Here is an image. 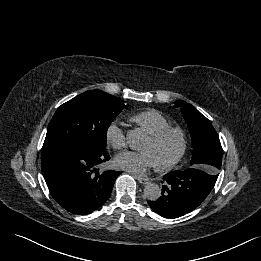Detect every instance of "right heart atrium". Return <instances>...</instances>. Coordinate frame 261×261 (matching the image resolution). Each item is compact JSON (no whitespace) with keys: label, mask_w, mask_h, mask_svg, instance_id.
I'll list each match as a JSON object with an SVG mask.
<instances>
[{"label":"right heart atrium","mask_w":261,"mask_h":261,"mask_svg":"<svg viewBox=\"0 0 261 261\" xmlns=\"http://www.w3.org/2000/svg\"><path fill=\"white\" fill-rule=\"evenodd\" d=\"M105 138L107 143L116 150L123 149L126 146L124 131L116 121L110 122L106 127Z\"/></svg>","instance_id":"d8ad5b80"}]
</instances>
